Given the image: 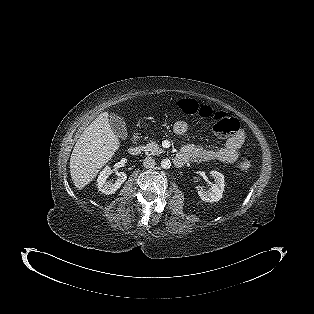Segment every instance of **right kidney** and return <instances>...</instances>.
I'll return each mask as SVG.
<instances>
[{
    "label": "right kidney",
    "instance_id": "1",
    "mask_svg": "<svg viewBox=\"0 0 314 314\" xmlns=\"http://www.w3.org/2000/svg\"><path fill=\"white\" fill-rule=\"evenodd\" d=\"M111 173L112 171L110 167L106 166L103 171L100 172V175L97 179V186L99 191L106 195L115 193L127 179V176L124 172H116L117 178L115 182L107 181V178Z\"/></svg>",
    "mask_w": 314,
    "mask_h": 314
}]
</instances>
